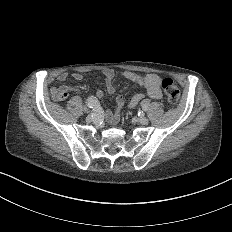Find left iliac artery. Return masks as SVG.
I'll list each match as a JSON object with an SVG mask.
<instances>
[{"mask_svg":"<svg viewBox=\"0 0 232 232\" xmlns=\"http://www.w3.org/2000/svg\"><path fill=\"white\" fill-rule=\"evenodd\" d=\"M137 116H138V118L142 119V118H144L145 114L143 111H138Z\"/></svg>","mask_w":232,"mask_h":232,"instance_id":"1","label":"left iliac artery"}]
</instances>
